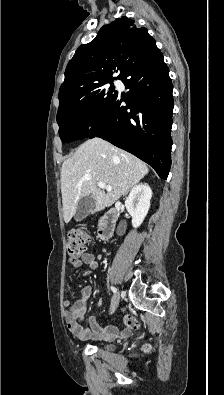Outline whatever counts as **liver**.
I'll use <instances>...</instances> for the list:
<instances>
[{
  "label": "liver",
  "instance_id": "1",
  "mask_svg": "<svg viewBox=\"0 0 224 395\" xmlns=\"http://www.w3.org/2000/svg\"><path fill=\"white\" fill-rule=\"evenodd\" d=\"M149 172L147 165L134 155L109 142L94 138L81 144L61 169L63 217L70 222L79 201L85 196L95 199L96 211L114 204L126 195ZM99 182L110 185L105 192Z\"/></svg>",
  "mask_w": 224,
  "mask_h": 395
}]
</instances>
